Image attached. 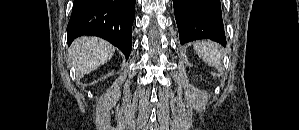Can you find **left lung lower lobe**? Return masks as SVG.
<instances>
[{
    "label": "left lung lower lobe",
    "mask_w": 299,
    "mask_h": 130,
    "mask_svg": "<svg viewBox=\"0 0 299 130\" xmlns=\"http://www.w3.org/2000/svg\"><path fill=\"white\" fill-rule=\"evenodd\" d=\"M180 43L211 39L226 45L220 0H173Z\"/></svg>",
    "instance_id": "1"
}]
</instances>
